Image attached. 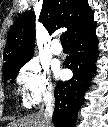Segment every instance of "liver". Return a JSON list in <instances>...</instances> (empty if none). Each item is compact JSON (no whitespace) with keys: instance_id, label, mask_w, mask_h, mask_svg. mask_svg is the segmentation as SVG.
Returning <instances> with one entry per match:
<instances>
[{"instance_id":"6515ba94","label":"liver","mask_w":108,"mask_h":127,"mask_svg":"<svg viewBox=\"0 0 108 127\" xmlns=\"http://www.w3.org/2000/svg\"><path fill=\"white\" fill-rule=\"evenodd\" d=\"M7 127H45V121L41 113H34L10 122Z\"/></svg>"}]
</instances>
